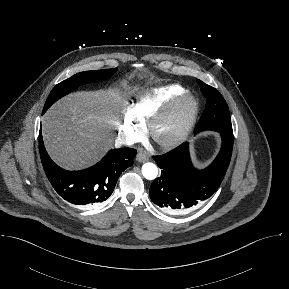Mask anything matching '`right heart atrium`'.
Returning <instances> with one entry per match:
<instances>
[{
  "instance_id": "obj_1",
  "label": "right heart atrium",
  "mask_w": 289,
  "mask_h": 289,
  "mask_svg": "<svg viewBox=\"0 0 289 289\" xmlns=\"http://www.w3.org/2000/svg\"><path fill=\"white\" fill-rule=\"evenodd\" d=\"M119 133L126 142L138 140L143 133V123L135 117L132 107L129 105L124 109L123 118L119 125Z\"/></svg>"
}]
</instances>
